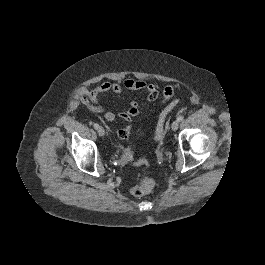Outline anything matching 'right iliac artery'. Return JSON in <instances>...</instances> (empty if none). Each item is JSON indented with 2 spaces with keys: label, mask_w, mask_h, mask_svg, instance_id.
Instances as JSON below:
<instances>
[{
  "label": "right iliac artery",
  "mask_w": 265,
  "mask_h": 265,
  "mask_svg": "<svg viewBox=\"0 0 265 265\" xmlns=\"http://www.w3.org/2000/svg\"><path fill=\"white\" fill-rule=\"evenodd\" d=\"M93 126L95 129H98V127H99V125L97 123H94Z\"/></svg>",
  "instance_id": "1"
}]
</instances>
